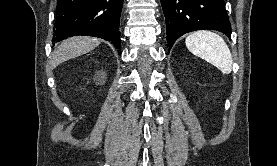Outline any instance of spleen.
I'll return each instance as SVG.
<instances>
[{"label": "spleen", "instance_id": "3e777b00", "mask_svg": "<svg viewBox=\"0 0 277 166\" xmlns=\"http://www.w3.org/2000/svg\"><path fill=\"white\" fill-rule=\"evenodd\" d=\"M188 50L217 67L222 73L232 71V55L224 39L211 31H197L185 40Z\"/></svg>", "mask_w": 277, "mask_h": 166}]
</instances>
